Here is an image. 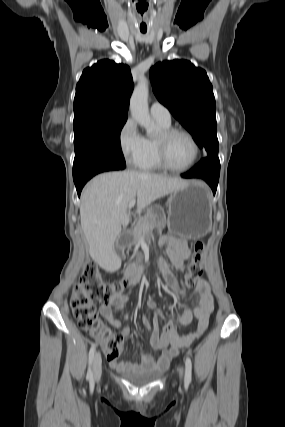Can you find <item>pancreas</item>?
I'll return each mask as SVG.
<instances>
[{
	"instance_id": "pancreas-1",
	"label": "pancreas",
	"mask_w": 285,
	"mask_h": 427,
	"mask_svg": "<svg viewBox=\"0 0 285 427\" xmlns=\"http://www.w3.org/2000/svg\"><path fill=\"white\" fill-rule=\"evenodd\" d=\"M157 226L156 218L152 212H147L140 217L133 228V240L136 244L144 233H150Z\"/></svg>"
}]
</instances>
